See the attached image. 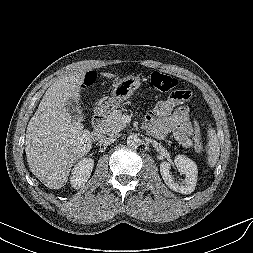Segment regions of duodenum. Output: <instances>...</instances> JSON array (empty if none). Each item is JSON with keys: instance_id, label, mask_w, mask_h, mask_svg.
<instances>
[{"instance_id": "1", "label": "duodenum", "mask_w": 253, "mask_h": 253, "mask_svg": "<svg viewBox=\"0 0 253 253\" xmlns=\"http://www.w3.org/2000/svg\"><path fill=\"white\" fill-rule=\"evenodd\" d=\"M105 123V114L102 111H97L92 120L93 134L92 139L96 140L102 133Z\"/></svg>"}]
</instances>
